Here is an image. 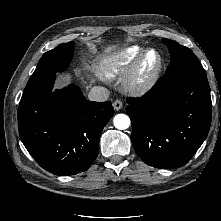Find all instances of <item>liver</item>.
Here are the masks:
<instances>
[{"label": "liver", "mask_w": 221, "mask_h": 221, "mask_svg": "<svg viewBox=\"0 0 221 221\" xmlns=\"http://www.w3.org/2000/svg\"><path fill=\"white\" fill-rule=\"evenodd\" d=\"M110 50H111V48H108L106 51L109 52ZM61 79H63V80H69V79H70V76H69V75L60 76V77L58 78V83L61 82Z\"/></svg>", "instance_id": "6515ba94"}]
</instances>
